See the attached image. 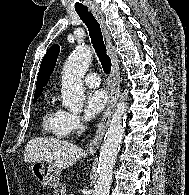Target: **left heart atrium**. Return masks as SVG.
I'll return each mask as SVG.
<instances>
[{
  "label": "left heart atrium",
  "instance_id": "obj_1",
  "mask_svg": "<svg viewBox=\"0 0 189 195\" xmlns=\"http://www.w3.org/2000/svg\"><path fill=\"white\" fill-rule=\"evenodd\" d=\"M108 101V92L106 89H92L85 99L84 113L86 118H93L98 115L106 106Z\"/></svg>",
  "mask_w": 189,
  "mask_h": 195
}]
</instances>
